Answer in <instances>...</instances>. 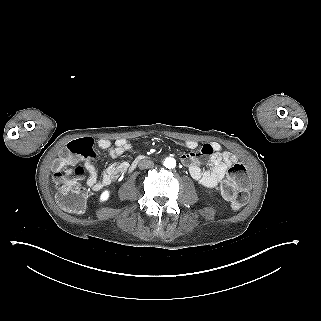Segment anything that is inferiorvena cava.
<instances>
[{"instance_id":"obj_1","label":"inferior vena cava","mask_w":321,"mask_h":321,"mask_svg":"<svg viewBox=\"0 0 321 321\" xmlns=\"http://www.w3.org/2000/svg\"><path fill=\"white\" fill-rule=\"evenodd\" d=\"M154 166V163L153 161L151 160H141L139 163H138V167L140 169H147V168H151Z\"/></svg>"}]
</instances>
